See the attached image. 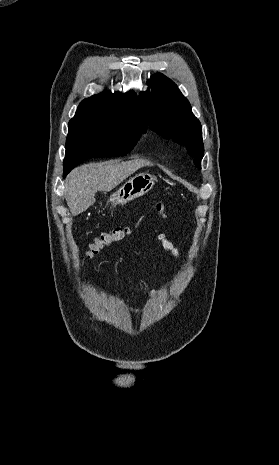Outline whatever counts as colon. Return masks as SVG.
Masks as SVG:
<instances>
[{
    "mask_svg": "<svg viewBox=\"0 0 279 465\" xmlns=\"http://www.w3.org/2000/svg\"><path fill=\"white\" fill-rule=\"evenodd\" d=\"M153 213L164 216L165 206L161 203L157 204ZM129 233L130 229L128 227H116L111 231L101 233L90 245L87 256L90 258L96 256L111 244L124 239Z\"/></svg>",
    "mask_w": 279,
    "mask_h": 465,
    "instance_id": "1",
    "label": "colon"
}]
</instances>
